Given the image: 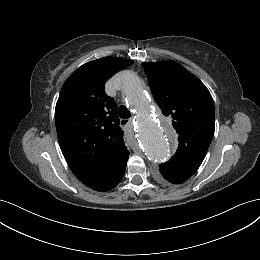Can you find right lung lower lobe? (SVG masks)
<instances>
[{
	"label": "right lung lower lobe",
	"instance_id": "obj_1",
	"mask_svg": "<svg viewBox=\"0 0 260 260\" xmlns=\"http://www.w3.org/2000/svg\"><path fill=\"white\" fill-rule=\"evenodd\" d=\"M124 172H122L114 181L94 187L93 189L95 191L105 192V191H109V190L115 188L118 185V183L120 182L121 178L123 177Z\"/></svg>",
	"mask_w": 260,
	"mask_h": 260
}]
</instances>
